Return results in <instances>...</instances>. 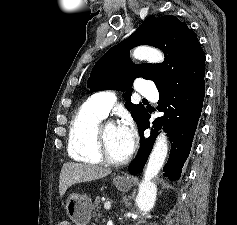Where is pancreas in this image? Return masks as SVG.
<instances>
[{"mask_svg": "<svg viewBox=\"0 0 237 225\" xmlns=\"http://www.w3.org/2000/svg\"><path fill=\"white\" fill-rule=\"evenodd\" d=\"M93 209H96V210H100L101 209V200H100V197L97 196L95 198V202H94V205H93ZM97 215V214H95ZM100 216V214H98Z\"/></svg>", "mask_w": 237, "mask_h": 225, "instance_id": "1", "label": "pancreas"}]
</instances>
